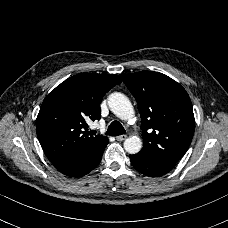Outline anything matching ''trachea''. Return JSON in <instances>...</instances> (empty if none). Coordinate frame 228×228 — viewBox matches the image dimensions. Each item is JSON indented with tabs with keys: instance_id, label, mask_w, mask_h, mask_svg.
Instances as JSON below:
<instances>
[{
	"instance_id": "3493384b",
	"label": "trachea",
	"mask_w": 228,
	"mask_h": 228,
	"mask_svg": "<svg viewBox=\"0 0 228 228\" xmlns=\"http://www.w3.org/2000/svg\"><path fill=\"white\" fill-rule=\"evenodd\" d=\"M126 131L124 129V127L122 126V124L118 121H113L109 127H108V130L106 132V135H109V136H119V135H122L124 134ZM95 133V131H94Z\"/></svg>"
}]
</instances>
